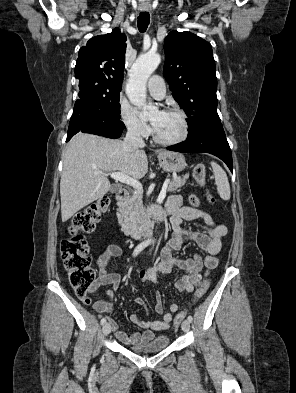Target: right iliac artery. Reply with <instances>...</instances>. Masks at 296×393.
Returning <instances> with one entry per match:
<instances>
[{"mask_svg":"<svg viewBox=\"0 0 296 393\" xmlns=\"http://www.w3.org/2000/svg\"><path fill=\"white\" fill-rule=\"evenodd\" d=\"M149 241H144L142 243H140L134 250L133 252V256L138 255L144 248H146L149 245ZM106 323V319L102 318L101 320V324L104 325Z\"/></svg>","mask_w":296,"mask_h":393,"instance_id":"1","label":"right iliac artery"}]
</instances>
